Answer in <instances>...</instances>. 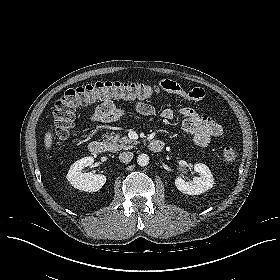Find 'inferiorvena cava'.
Returning a JSON list of instances; mask_svg holds the SVG:
<instances>
[{
	"instance_id": "602c4592",
	"label": "inferior vena cava",
	"mask_w": 280,
	"mask_h": 280,
	"mask_svg": "<svg viewBox=\"0 0 280 280\" xmlns=\"http://www.w3.org/2000/svg\"><path fill=\"white\" fill-rule=\"evenodd\" d=\"M133 153L132 152H122L119 155V160L123 163H128L133 159Z\"/></svg>"
}]
</instances>
